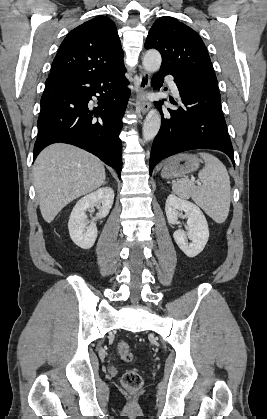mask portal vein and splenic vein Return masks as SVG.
<instances>
[{
	"instance_id": "18ae733b",
	"label": "portal vein and splenic vein",
	"mask_w": 267,
	"mask_h": 419,
	"mask_svg": "<svg viewBox=\"0 0 267 419\" xmlns=\"http://www.w3.org/2000/svg\"><path fill=\"white\" fill-rule=\"evenodd\" d=\"M197 184H198V185H201V183H200V182H197Z\"/></svg>"
}]
</instances>
